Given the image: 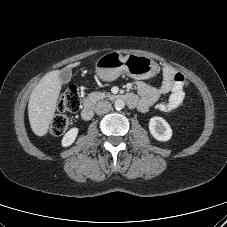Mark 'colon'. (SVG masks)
Segmentation results:
<instances>
[{
	"mask_svg": "<svg viewBox=\"0 0 227 227\" xmlns=\"http://www.w3.org/2000/svg\"><path fill=\"white\" fill-rule=\"evenodd\" d=\"M81 106V93L76 86H71L65 91L58 101V114H56L50 125L53 135H61L68 127L69 119L66 113H75Z\"/></svg>",
	"mask_w": 227,
	"mask_h": 227,
	"instance_id": "colon-1",
	"label": "colon"
}]
</instances>
